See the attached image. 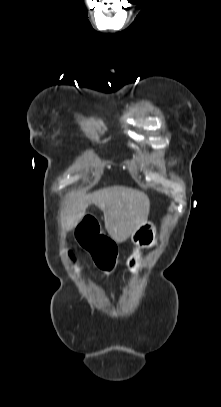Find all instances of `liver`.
<instances>
[{
	"mask_svg": "<svg viewBox=\"0 0 221 407\" xmlns=\"http://www.w3.org/2000/svg\"><path fill=\"white\" fill-rule=\"evenodd\" d=\"M97 205L104 214L105 228L116 243L125 242L147 221L150 201L142 192L123 186H114L79 198L71 207L68 226L75 227L89 205Z\"/></svg>",
	"mask_w": 221,
	"mask_h": 407,
	"instance_id": "liver-1",
	"label": "liver"
}]
</instances>
